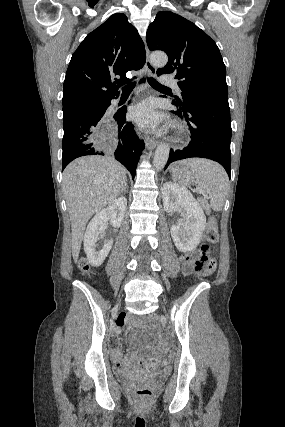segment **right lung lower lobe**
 <instances>
[{
	"label": "right lung lower lobe",
	"instance_id": "98d812e1",
	"mask_svg": "<svg viewBox=\"0 0 285 427\" xmlns=\"http://www.w3.org/2000/svg\"><path fill=\"white\" fill-rule=\"evenodd\" d=\"M111 100L100 101L70 110L63 115L62 170L75 158L85 155H104L105 143L102 138L108 132L109 124L115 123L116 148L113 155L135 176L137 162L144 147L133 130V124L126 122L125 111L113 117L106 115Z\"/></svg>",
	"mask_w": 285,
	"mask_h": 427
}]
</instances>
